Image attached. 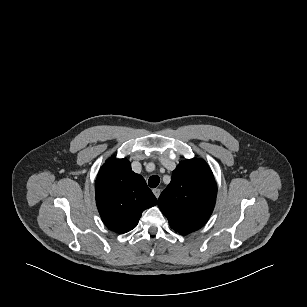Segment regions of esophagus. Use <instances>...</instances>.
<instances>
[{"mask_svg":"<svg viewBox=\"0 0 307 307\" xmlns=\"http://www.w3.org/2000/svg\"><path fill=\"white\" fill-rule=\"evenodd\" d=\"M152 191H153L155 197L158 199L159 196H160L161 190L158 189V188H155V189H153Z\"/></svg>","mask_w":307,"mask_h":307,"instance_id":"34e87169","label":"esophagus"}]
</instances>
